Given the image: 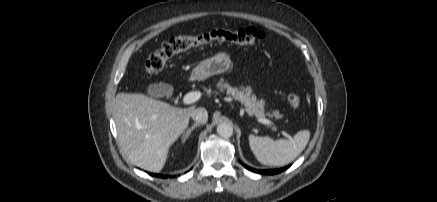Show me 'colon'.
I'll return each mask as SVG.
<instances>
[{"label":"colon","instance_id":"obj_1","mask_svg":"<svg viewBox=\"0 0 437 202\" xmlns=\"http://www.w3.org/2000/svg\"><path fill=\"white\" fill-rule=\"evenodd\" d=\"M264 38L265 34L263 32L252 27L238 30L212 29L194 36L174 37L164 42L159 49L147 58L145 73L149 77L158 74L165 68L171 57L194 47L210 43L248 45L261 42ZM287 100L293 108L300 106L301 98L297 93H290Z\"/></svg>","mask_w":437,"mask_h":202}]
</instances>
